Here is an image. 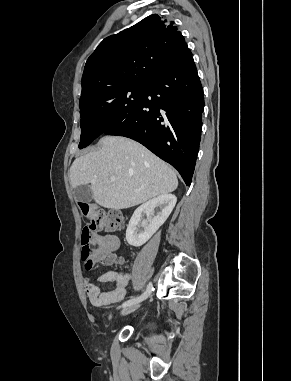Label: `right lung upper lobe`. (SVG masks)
<instances>
[{
    "mask_svg": "<svg viewBox=\"0 0 291 381\" xmlns=\"http://www.w3.org/2000/svg\"><path fill=\"white\" fill-rule=\"evenodd\" d=\"M186 48L174 22L157 14L105 38L85 64L80 103L112 87L147 83Z\"/></svg>",
    "mask_w": 291,
    "mask_h": 381,
    "instance_id": "obj_1",
    "label": "right lung upper lobe"
}]
</instances>
